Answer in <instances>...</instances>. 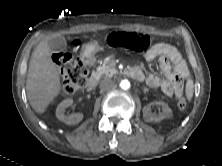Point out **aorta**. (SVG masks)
I'll return each instance as SVG.
<instances>
[{"label":"aorta","instance_id":"1","mask_svg":"<svg viewBox=\"0 0 222 166\" xmlns=\"http://www.w3.org/2000/svg\"><path fill=\"white\" fill-rule=\"evenodd\" d=\"M120 87L124 90H127L130 88V82L128 80H122L120 82Z\"/></svg>","mask_w":222,"mask_h":166}]
</instances>
